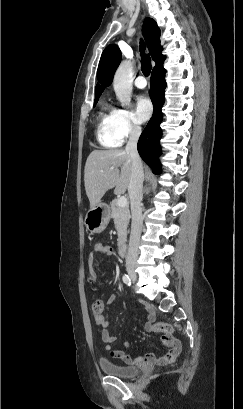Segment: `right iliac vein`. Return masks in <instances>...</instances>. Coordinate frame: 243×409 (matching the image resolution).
Instances as JSON below:
<instances>
[{"instance_id": "right-iliac-vein-1", "label": "right iliac vein", "mask_w": 243, "mask_h": 409, "mask_svg": "<svg viewBox=\"0 0 243 409\" xmlns=\"http://www.w3.org/2000/svg\"><path fill=\"white\" fill-rule=\"evenodd\" d=\"M127 272L132 281H136L137 275L133 267H127Z\"/></svg>"}]
</instances>
